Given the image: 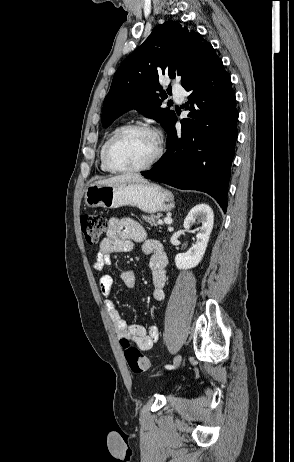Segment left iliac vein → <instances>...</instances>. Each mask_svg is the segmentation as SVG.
<instances>
[{
    "label": "left iliac vein",
    "instance_id": "4c4485c4",
    "mask_svg": "<svg viewBox=\"0 0 294 462\" xmlns=\"http://www.w3.org/2000/svg\"><path fill=\"white\" fill-rule=\"evenodd\" d=\"M181 360H182V356H181L180 354H178V355L174 358L172 370L176 369V368L180 365Z\"/></svg>",
    "mask_w": 294,
    "mask_h": 462
}]
</instances>
